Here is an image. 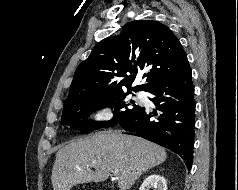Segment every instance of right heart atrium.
<instances>
[{
    "mask_svg": "<svg viewBox=\"0 0 238 190\" xmlns=\"http://www.w3.org/2000/svg\"><path fill=\"white\" fill-rule=\"evenodd\" d=\"M113 108L107 104H98L92 114V118L97 123L109 121L113 118Z\"/></svg>",
    "mask_w": 238,
    "mask_h": 190,
    "instance_id": "d8ad5b80",
    "label": "right heart atrium"
}]
</instances>
